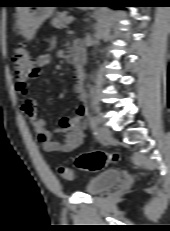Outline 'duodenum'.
<instances>
[{
    "label": "duodenum",
    "mask_w": 170,
    "mask_h": 231,
    "mask_svg": "<svg viewBox=\"0 0 170 231\" xmlns=\"http://www.w3.org/2000/svg\"><path fill=\"white\" fill-rule=\"evenodd\" d=\"M71 63L78 69L79 73H84V54L82 51L74 50L70 54Z\"/></svg>",
    "instance_id": "duodenum-1"
}]
</instances>
